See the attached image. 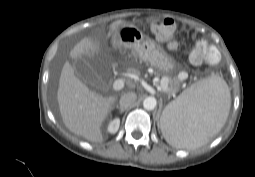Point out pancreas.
<instances>
[{
	"mask_svg": "<svg viewBox=\"0 0 255 177\" xmlns=\"http://www.w3.org/2000/svg\"><path fill=\"white\" fill-rule=\"evenodd\" d=\"M177 83H178V80L177 79H171L169 77H166L164 76L162 79H161V82H160V85L162 87V84H165L169 90L170 93H174L176 92L177 88Z\"/></svg>",
	"mask_w": 255,
	"mask_h": 177,
	"instance_id": "cf45deb5",
	"label": "pancreas"
}]
</instances>
